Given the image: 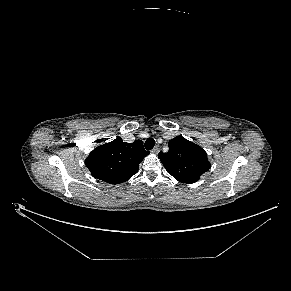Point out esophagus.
<instances>
[{
  "label": "esophagus",
  "mask_w": 291,
  "mask_h": 291,
  "mask_svg": "<svg viewBox=\"0 0 291 291\" xmlns=\"http://www.w3.org/2000/svg\"><path fill=\"white\" fill-rule=\"evenodd\" d=\"M159 151H160V147H159V146H155V147L152 149L151 152L154 153V154H158Z\"/></svg>",
  "instance_id": "34e87169"
}]
</instances>
